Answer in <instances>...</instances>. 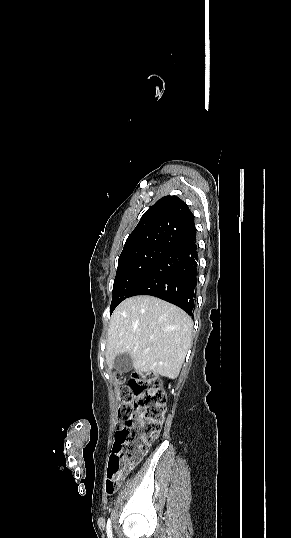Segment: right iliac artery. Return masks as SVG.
<instances>
[{
    "label": "right iliac artery",
    "instance_id": "obj_1",
    "mask_svg": "<svg viewBox=\"0 0 291 538\" xmlns=\"http://www.w3.org/2000/svg\"><path fill=\"white\" fill-rule=\"evenodd\" d=\"M106 532H107L108 538H112V527H111V520L110 519H108V521H107Z\"/></svg>",
    "mask_w": 291,
    "mask_h": 538
}]
</instances>
